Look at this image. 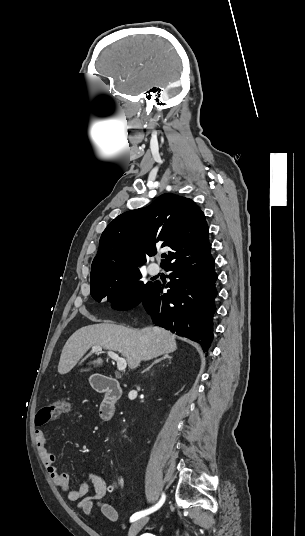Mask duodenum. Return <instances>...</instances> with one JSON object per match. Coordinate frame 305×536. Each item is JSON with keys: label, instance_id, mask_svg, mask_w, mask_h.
<instances>
[{"label": "duodenum", "instance_id": "410a0bca", "mask_svg": "<svg viewBox=\"0 0 305 536\" xmlns=\"http://www.w3.org/2000/svg\"><path fill=\"white\" fill-rule=\"evenodd\" d=\"M93 385L98 392L104 394L100 416L102 420L109 422L115 416L116 405L122 395L121 387L114 378L100 375L94 377Z\"/></svg>", "mask_w": 305, "mask_h": 536}]
</instances>
